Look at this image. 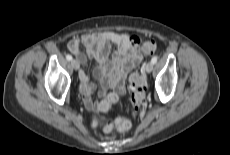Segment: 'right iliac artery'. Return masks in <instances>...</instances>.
I'll return each instance as SVG.
<instances>
[{"label": "right iliac artery", "instance_id": "1", "mask_svg": "<svg viewBox=\"0 0 230 155\" xmlns=\"http://www.w3.org/2000/svg\"><path fill=\"white\" fill-rule=\"evenodd\" d=\"M66 59L68 60V61H71L72 60V56L71 55H66Z\"/></svg>", "mask_w": 230, "mask_h": 155}]
</instances>
